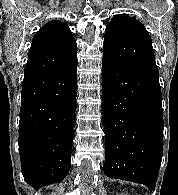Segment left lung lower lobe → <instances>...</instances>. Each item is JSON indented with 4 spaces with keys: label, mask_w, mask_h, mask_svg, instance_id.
I'll list each match as a JSON object with an SVG mask.
<instances>
[{
    "label": "left lung lower lobe",
    "mask_w": 178,
    "mask_h": 195,
    "mask_svg": "<svg viewBox=\"0 0 178 195\" xmlns=\"http://www.w3.org/2000/svg\"><path fill=\"white\" fill-rule=\"evenodd\" d=\"M104 173L155 189L163 156L159 78L103 56Z\"/></svg>",
    "instance_id": "left-lung-lower-lobe-1"
}]
</instances>
